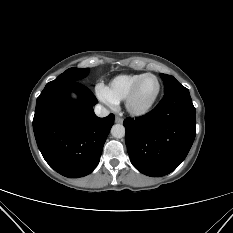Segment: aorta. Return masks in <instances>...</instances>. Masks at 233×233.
<instances>
[{
  "mask_svg": "<svg viewBox=\"0 0 233 233\" xmlns=\"http://www.w3.org/2000/svg\"><path fill=\"white\" fill-rule=\"evenodd\" d=\"M111 134L114 138H123L125 136V127L122 124H115L111 128Z\"/></svg>",
  "mask_w": 233,
  "mask_h": 233,
  "instance_id": "obj_1",
  "label": "aorta"
}]
</instances>
